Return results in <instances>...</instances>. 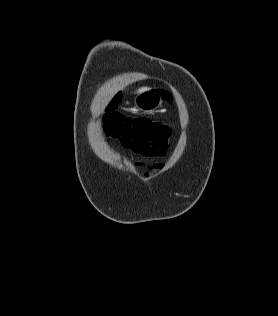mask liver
I'll return each instance as SVG.
<instances>
[{"label": "liver", "mask_w": 278, "mask_h": 316, "mask_svg": "<svg viewBox=\"0 0 278 316\" xmlns=\"http://www.w3.org/2000/svg\"><path fill=\"white\" fill-rule=\"evenodd\" d=\"M146 90H147V88H142V89H139L138 92H143V91H146Z\"/></svg>", "instance_id": "6515ba94"}]
</instances>
